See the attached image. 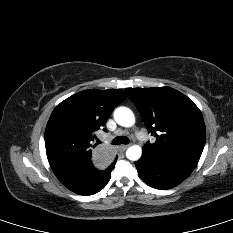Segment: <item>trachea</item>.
Segmentation results:
<instances>
[{"mask_svg":"<svg viewBox=\"0 0 233 233\" xmlns=\"http://www.w3.org/2000/svg\"><path fill=\"white\" fill-rule=\"evenodd\" d=\"M129 143V138L126 136H119L114 138L112 144L114 145H120V144H128Z\"/></svg>","mask_w":233,"mask_h":233,"instance_id":"obj_1","label":"trachea"}]
</instances>
